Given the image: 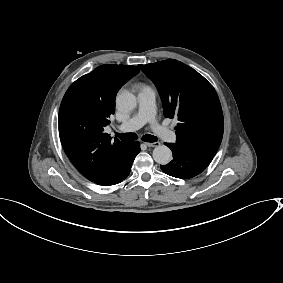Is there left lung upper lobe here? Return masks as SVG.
Returning <instances> with one entry per match:
<instances>
[{
	"label": "left lung upper lobe",
	"instance_id": "1",
	"mask_svg": "<svg viewBox=\"0 0 283 283\" xmlns=\"http://www.w3.org/2000/svg\"><path fill=\"white\" fill-rule=\"evenodd\" d=\"M154 82L165 117H177L176 144L214 156L221 144L224 119L213 86L193 68L174 59L139 65Z\"/></svg>",
	"mask_w": 283,
	"mask_h": 283
}]
</instances>
